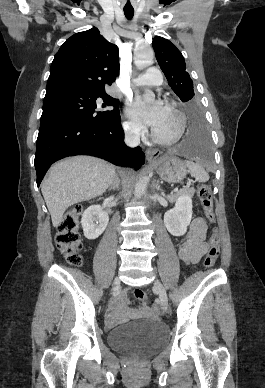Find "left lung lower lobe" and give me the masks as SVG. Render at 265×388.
Returning <instances> with one entry per match:
<instances>
[{"mask_svg": "<svg viewBox=\"0 0 265 388\" xmlns=\"http://www.w3.org/2000/svg\"><path fill=\"white\" fill-rule=\"evenodd\" d=\"M179 150L181 153L201 161L211 159L210 139L207 127L199 108L187 112V131Z\"/></svg>", "mask_w": 265, "mask_h": 388, "instance_id": "left-lung-lower-lobe-1", "label": "left lung lower lobe"}]
</instances>
